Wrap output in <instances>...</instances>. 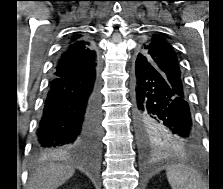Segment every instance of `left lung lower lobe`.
I'll return each mask as SVG.
<instances>
[{
  "mask_svg": "<svg viewBox=\"0 0 223 189\" xmlns=\"http://www.w3.org/2000/svg\"><path fill=\"white\" fill-rule=\"evenodd\" d=\"M133 95L139 132L149 126H160L183 146L193 147L198 143L186 94L155 67L140 59L135 62Z\"/></svg>",
  "mask_w": 223,
  "mask_h": 189,
  "instance_id": "1",
  "label": "left lung lower lobe"
}]
</instances>
